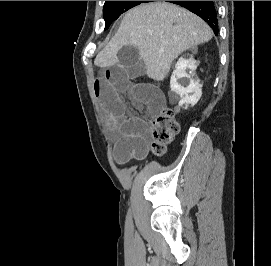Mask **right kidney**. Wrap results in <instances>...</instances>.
I'll use <instances>...</instances> for the list:
<instances>
[{
  "label": "right kidney",
  "instance_id": "ca27d5eb",
  "mask_svg": "<svg viewBox=\"0 0 271 266\" xmlns=\"http://www.w3.org/2000/svg\"><path fill=\"white\" fill-rule=\"evenodd\" d=\"M197 68L196 60L189 55L181 56L173 71L170 88L173 93L180 96L178 105L185 108L189 105L194 106L202 95V84L195 74ZM187 69L190 72H187Z\"/></svg>",
  "mask_w": 271,
  "mask_h": 266
}]
</instances>
